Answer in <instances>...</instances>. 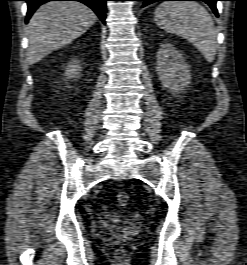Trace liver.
<instances>
[{"label": "liver", "mask_w": 247, "mask_h": 265, "mask_svg": "<svg viewBox=\"0 0 247 265\" xmlns=\"http://www.w3.org/2000/svg\"><path fill=\"white\" fill-rule=\"evenodd\" d=\"M96 18L90 8L79 2L55 1L40 6L27 26L29 63L39 62L80 37Z\"/></svg>", "instance_id": "liver-1"}]
</instances>
